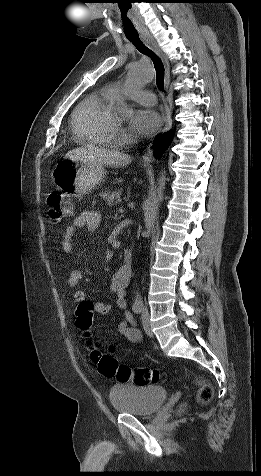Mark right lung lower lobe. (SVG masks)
Segmentation results:
<instances>
[{
	"label": "right lung lower lobe",
	"instance_id": "98d812e1",
	"mask_svg": "<svg viewBox=\"0 0 261 476\" xmlns=\"http://www.w3.org/2000/svg\"><path fill=\"white\" fill-rule=\"evenodd\" d=\"M172 136H173V132L170 134H166V135H162L161 137H158L156 139V143L154 146L155 152L159 154L162 153L171 142Z\"/></svg>",
	"mask_w": 261,
	"mask_h": 476
}]
</instances>
